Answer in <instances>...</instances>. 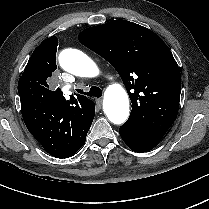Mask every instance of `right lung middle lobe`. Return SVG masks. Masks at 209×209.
<instances>
[{
	"label": "right lung middle lobe",
	"mask_w": 209,
	"mask_h": 209,
	"mask_svg": "<svg viewBox=\"0 0 209 209\" xmlns=\"http://www.w3.org/2000/svg\"><path fill=\"white\" fill-rule=\"evenodd\" d=\"M56 53L41 52L35 55L26 72H23L18 83V92L32 91L40 96H48L50 91L48 81L56 70Z\"/></svg>",
	"instance_id": "right-lung-middle-lobe-1"
}]
</instances>
